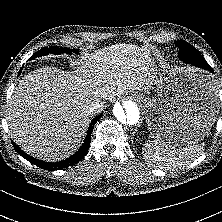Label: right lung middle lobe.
<instances>
[{
    "label": "right lung middle lobe",
    "mask_w": 222,
    "mask_h": 222,
    "mask_svg": "<svg viewBox=\"0 0 222 222\" xmlns=\"http://www.w3.org/2000/svg\"><path fill=\"white\" fill-rule=\"evenodd\" d=\"M49 53L51 54H60V53H67L71 55L72 53L78 54L79 51L77 49H69V48H59V47H50V48H43L33 54L30 58L34 59L36 57H41L44 55H48Z\"/></svg>",
    "instance_id": "right-lung-middle-lobe-1"
}]
</instances>
